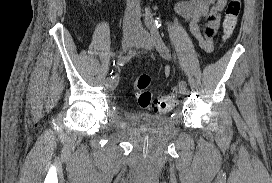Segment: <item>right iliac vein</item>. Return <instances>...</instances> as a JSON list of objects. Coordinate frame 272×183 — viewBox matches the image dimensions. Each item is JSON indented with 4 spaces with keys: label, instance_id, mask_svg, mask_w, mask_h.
<instances>
[{
    "label": "right iliac vein",
    "instance_id": "obj_1",
    "mask_svg": "<svg viewBox=\"0 0 272 183\" xmlns=\"http://www.w3.org/2000/svg\"><path fill=\"white\" fill-rule=\"evenodd\" d=\"M137 41V35L135 34L134 31H127L123 35V40H122V48L124 51L129 50ZM118 84L117 81H110L106 80V87L108 90L112 91L115 89V87Z\"/></svg>",
    "mask_w": 272,
    "mask_h": 183
}]
</instances>
